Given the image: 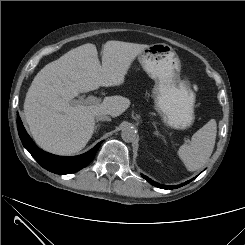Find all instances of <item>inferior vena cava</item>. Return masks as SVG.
<instances>
[{
    "mask_svg": "<svg viewBox=\"0 0 245 245\" xmlns=\"http://www.w3.org/2000/svg\"><path fill=\"white\" fill-rule=\"evenodd\" d=\"M96 120L97 121H110L111 118L108 115H106V114L97 113L96 114Z\"/></svg>",
    "mask_w": 245,
    "mask_h": 245,
    "instance_id": "602c4592",
    "label": "inferior vena cava"
}]
</instances>
